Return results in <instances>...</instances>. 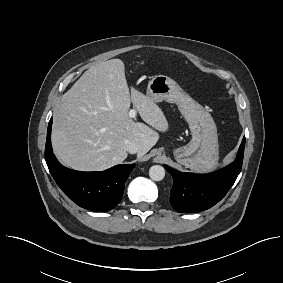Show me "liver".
Returning a JSON list of instances; mask_svg holds the SVG:
<instances>
[{"label": "liver", "mask_w": 283, "mask_h": 283, "mask_svg": "<svg viewBox=\"0 0 283 283\" xmlns=\"http://www.w3.org/2000/svg\"><path fill=\"white\" fill-rule=\"evenodd\" d=\"M131 102L151 127L129 117ZM168 128L151 98L134 87L129 92L123 61L111 59L85 71L62 96L51 138L54 153L67 167L103 171L127 158L126 140L138 144L141 157L157 143L156 130Z\"/></svg>", "instance_id": "liver-1"}]
</instances>
